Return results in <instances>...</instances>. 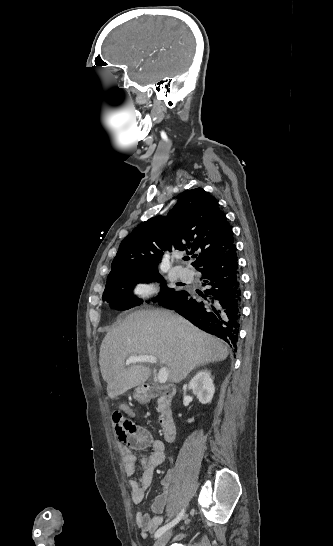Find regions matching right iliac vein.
<instances>
[{"label":"right iliac vein","mask_w":333,"mask_h":546,"mask_svg":"<svg viewBox=\"0 0 333 546\" xmlns=\"http://www.w3.org/2000/svg\"><path fill=\"white\" fill-rule=\"evenodd\" d=\"M172 536V531L163 533L154 543V546H165L170 537Z\"/></svg>","instance_id":"obj_1"}]
</instances>
